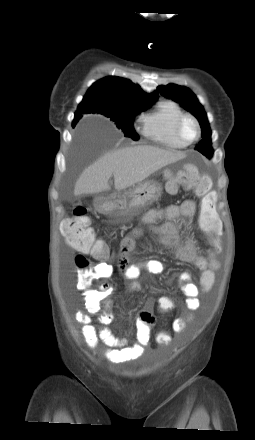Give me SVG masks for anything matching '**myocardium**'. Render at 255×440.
<instances>
[{"label": "myocardium", "instance_id": "obj_1", "mask_svg": "<svg viewBox=\"0 0 255 440\" xmlns=\"http://www.w3.org/2000/svg\"><path fill=\"white\" fill-rule=\"evenodd\" d=\"M186 121H191L196 128V134L192 140L186 139L182 133V126ZM175 134L177 138L186 145H190L196 142L201 136V126L198 119L192 114L184 113L175 124Z\"/></svg>", "mask_w": 255, "mask_h": 440}]
</instances>
